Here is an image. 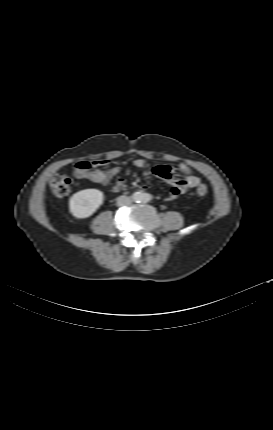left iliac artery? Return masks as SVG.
Here are the masks:
<instances>
[{
	"label": "left iliac artery",
	"instance_id": "left-iliac-artery-1",
	"mask_svg": "<svg viewBox=\"0 0 273 430\" xmlns=\"http://www.w3.org/2000/svg\"><path fill=\"white\" fill-rule=\"evenodd\" d=\"M151 200H152V195H150L148 193H145L141 198V201L144 203L149 202Z\"/></svg>",
	"mask_w": 273,
	"mask_h": 430
}]
</instances>
